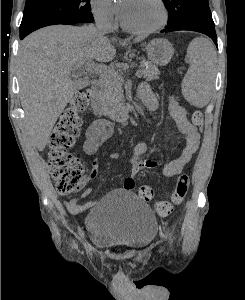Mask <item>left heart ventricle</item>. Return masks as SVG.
<instances>
[{
	"label": "left heart ventricle",
	"mask_w": 245,
	"mask_h": 300,
	"mask_svg": "<svg viewBox=\"0 0 245 300\" xmlns=\"http://www.w3.org/2000/svg\"><path fill=\"white\" fill-rule=\"evenodd\" d=\"M121 14L128 25L137 28L156 26L163 17L157 0H125L122 3Z\"/></svg>",
	"instance_id": "left-heart-ventricle-1"
}]
</instances>
